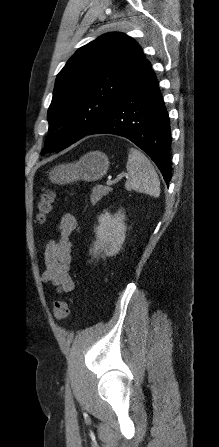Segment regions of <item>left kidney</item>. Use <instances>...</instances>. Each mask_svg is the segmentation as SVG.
<instances>
[{"label": "left kidney", "mask_w": 219, "mask_h": 447, "mask_svg": "<svg viewBox=\"0 0 219 447\" xmlns=\"http://www.w3.org/2000/svg\"><path fill=\"white\" fill-rule=\"evenodd\" d=\"M125 215L117 213L114 216L104 212L98 218L99 226L95 230L96 241L92 252L102 257L113 256L119 252L125 240Z\"/></svg>", "instance_id": "5707ae66"}]
</instances>
